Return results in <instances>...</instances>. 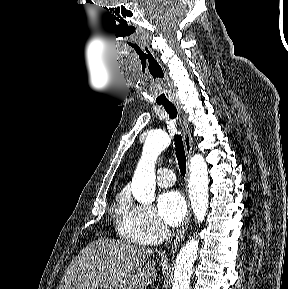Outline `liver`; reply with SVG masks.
<instances>
[{
  "mask_svg": "<svg viewBox=\"0 0 288 289\" xmlns=\"http://www.w3.org/2000/svg\"><path fill=\"white\" fill-rule=\"evenodd\" d=\"M152 249L99 238L66 268L57 289H143L156 279Z\"/></svg>",
  "mask_w": 288,
  "mask_h": 289,
  "instance_id": "6515ba94",
  "label": "liver"
}]
</instances>
